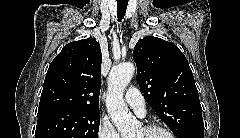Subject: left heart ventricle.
I'll use <instances>...</instances> for the list:
<instances>
[{"mask_svg": "<svg viewBox=\"0 0 240 138\" xmlns=\"http://www.w3.org/2000/svg\"><path fill=\"white\" fill-rule=\"evenodd\" d=\"M166 134L160 131H154V132H146L142 129H140L138 132L134 134L133 138H166Z\"/></svg>", "mask_w": 240, "mask_h": 138, "instance_id": "obj_1", "label": "left heart ventricle"}]
</instances>
